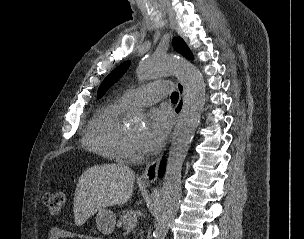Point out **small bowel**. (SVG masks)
I'll return each instance as SVG.
<instances>
[{"label":"small bowel","instance_id":"c3829d8e","mask_svg":"<svg viewBox=\"0 0 304 239\" xmlns=\"http://www.w3.org/2000/svg\"><path fill=\"white\" fill-rule=\"evenodd\" d=\"M72 234L60 227H54L49 233V239H65L71 237Z\"/></svg>","mask_w":304,"mask_h":239}]
</instances>
